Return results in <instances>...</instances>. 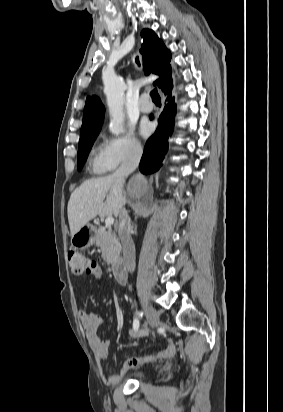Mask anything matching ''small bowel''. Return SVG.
I'll return each instance as SVG.
<instances>
[{
  "label": "small bowel",
  "mask_w": 283,
  "mask_h": 412,
  "mask_svg": "<svg viewBox=\"0 0 283 412\" xmlns=\"http://www.w3.org/2000/svg\"><path fill=\"white\" fill-rule=\"evenodd\" d=\"M89 274H91L96 280H100L103 274L102 267L97 264L96 269L90 271ZM79 319L97 362L99 364L103 363L107 359L109 349L111 347V342L109 340H101L98 335V330L104 322L103 317L99 314L88 312L82 309L79 311ZM147 332V329H143L139 333H136L135 330H131L130 334L134 336H143L147 334ZM175 354L176 347L174 343L169 340L166 347L160 350L156 356H137L127 359L121 366L120 375L118 377H110L107 379V381L111 384L117 383L119 378L122 377L130 368L144 363L152 362L155 359L172 358Z\"/></svg>",
  "instance_id": "1"
}]
</instances>
